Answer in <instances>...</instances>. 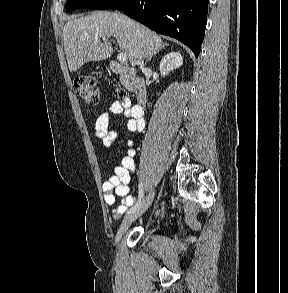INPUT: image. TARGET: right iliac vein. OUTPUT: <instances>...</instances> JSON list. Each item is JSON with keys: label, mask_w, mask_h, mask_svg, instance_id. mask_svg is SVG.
Wrapping results in <instances>:
<instances>
[{"label": "right iliac vein", "mask_w": 288, "mask_h": 293, "mask_svg": "<svg viewBox=\"0 0 288 293\" xmlns=\"http://www.w3.org/2000/svg\"><path fill=\"white\" fill-rule=\"evenodd\" d=\"M154 195H155V192L153 190L150 191L149 194L146 196L145 200L142 202L141 206L136 211H134L131 214H128L124 218L115 237L116 243L119 242V240L121 239L123 234L126 232L128 227L131 225V223L134 220H136L138 217H140L148 209V207L151 205L154 199Z\"/></svg>", "instance_id": "63e3f726"}]
</instances>
